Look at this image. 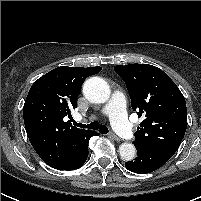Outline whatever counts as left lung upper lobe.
I'll use <instances>...</instances> for the list:
<instances>
[{
	"label": "left lung upper lobe",
	"instance_id": "5c2ea615",
	"mask_svg": "<svg viewBox=\"0 0 201 201\" xmlns=\"http://www.w3.org/2000/svg\"><path fill=\"white\" fill-rule=\"evenodd\" d=\"M114 70L126 83L132 109L146 117L135 133V147L177 150L187 128L186 102L177 85L148 64L117 65Z\"/></svg>",
	"mask_w": 201,
	"mask_h": 201
}]
</instances>
